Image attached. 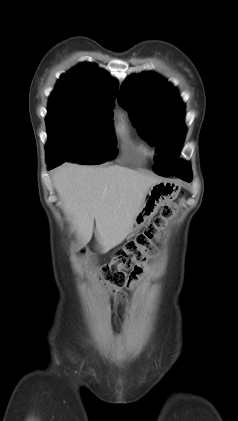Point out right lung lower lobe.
<instances>
[{
	"label": "right lung lower lobe",
	"instance_id": "right-lung-lower-lobe-1",
	"mask_svg": "<svg viewBox=\"0 0 238 421\" xmlns=\"http://www.w3.org/2000/svg\"><path fill=\"white\" fill-rule=\"evenodd\" d=\"M64 163L63 160H53V161H47V165H48V170L60 165Z\"/></svg>",
	"mask_w": 238,
	"mask_h": 421
}]
</instances>
